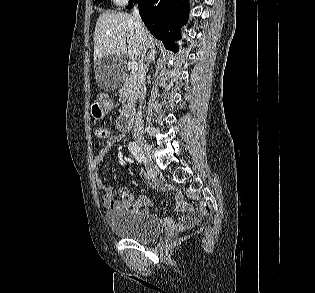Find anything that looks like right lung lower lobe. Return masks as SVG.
<instances>
[{"label": "right lung lower lobe", "instance_id": "1", "mask_svg": "<svg viewBox=\"0 0 315 293\" xmlns=\"http://www.w3.org/2000/svg\"><path fill=\"white\" fill-rule=\"evenodd\" d=\"M138 1L139 13L154 37L160 39L165 48L178 51L175 40L179 38L182 24L188 19L187 0H132L127 8Z\"/></svg>", "mask_w": 315, "mask_h": 293}]
</instances>
